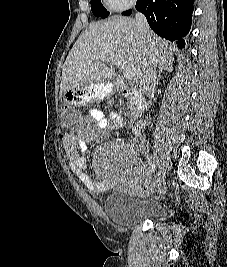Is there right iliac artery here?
Instances as JSON below:
<instances>
[{"instance_id":"right-iliac-artery-1","label":"right iliac artery","mask_w":227,"mask_h":267,"mask_svg":"<svg viewBox=\"0 0 227 267\" xmlns=\"http://www.w3.org/2000/svg\"><path fill=\"white\" fill-rule=\"evenodd\" d=\"M155 171V166L154 165H151V168H150V172L153 173ZM161 174V172L159 171L157 174H156V177L159 176Z\"/></svg>"}]
</instances>
